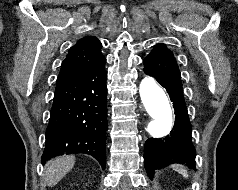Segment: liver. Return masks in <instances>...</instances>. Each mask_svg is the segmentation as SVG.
Masks as SVG:
<instances>
[{"label": "liver", "mask_w": 238, "mask_h": 190, "mask_svg": "<svg viewBox=\"0 0 238 190\" xmlns=\"http://www.w3.org/2000/svg\"><path fill=\"white\" fill-rule=\"evenodd\" d=\"M74 156H61L49 161L45 167L48 186H55L73 168Z\"/></svg>", "instance_id": "6515ba94"}]
</instances>
